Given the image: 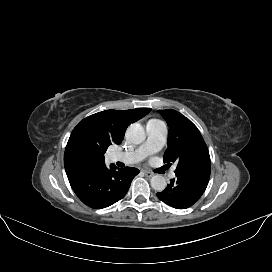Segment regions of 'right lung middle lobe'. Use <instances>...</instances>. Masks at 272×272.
<instances>
[{
	"label": "right lung middle lobe",
	"instance_id": "obj_1",
	"mask_svg": "<svg viewBox=\"0 0 272 272\" xmlns=\"http://www.w3.org/2000/svg\"><path fill=\"white\" fill-rule=\"evenodd\" d=\"M107 148L108 146L105 144H99L91 141L85 143V150L101 159H104V153L106 152Z\"/></svg>",
	"mask_w": 272,
	"mask_h": 272
}]
</instances>
